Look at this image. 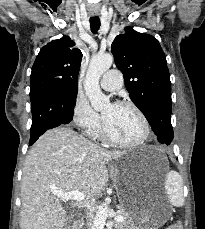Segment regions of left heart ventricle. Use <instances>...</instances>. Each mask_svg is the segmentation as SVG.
<instances>
[{
    "label": "left heart ventricle",
    "mask_w": 205,
    "mask_h": 229,
    "mask_svg": "<svg viewBox=\"0 0 205 229\" xmlns=\"http://www.w3.org/2000/svg\"><path fill=\"white\" fill-rule=\"evenodd\" d=\"M103 117L110 135L119 141H134L138 139L143 127L138 115L129 107L107 104L102 109Z\"/></svg>",
    "instance_id": "obj_1"
}]
</instances>
